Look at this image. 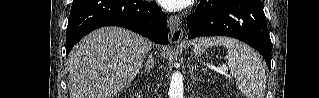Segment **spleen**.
I'll return each instance as SVG.
<instances>
[{"label":"spleen","instance_id":"1","mask_svg":"<svg viewBox=\"0 0 319 98\" xmlns=\"http://www.w3.org/2000/svg\"><path fill=\"white\" fill-rule=\"evenodd\" d=\"M212 46L226 48L230 73L237 80L238 89L247 98H264L266 75L260 56L246 44L227 37L200 39L193 52L198 55Z\"/></svg>","mask_w":319,"mask_h":98}]
</instances>
